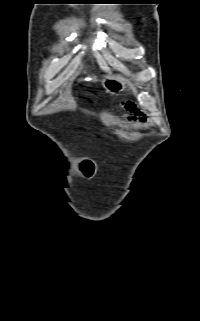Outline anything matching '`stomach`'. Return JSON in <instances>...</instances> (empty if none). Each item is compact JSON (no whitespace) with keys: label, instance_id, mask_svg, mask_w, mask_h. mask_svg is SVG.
Masks as SVG:
<instances>
[{"label":"stomach","instance_id":"stomach-1","mask_svg":"<svg viewBox=\"0 0 200 321\" xmlns=\"http://www.w3.org/2000/svg\"><path fill=\"white\" fill-rule=\"evenodd\" d=\"M127 82L121 77H106L103 86L110 93H118L126 88Z\"/></svg>","mask_w":200,"mask_h":321}]
</instances>
